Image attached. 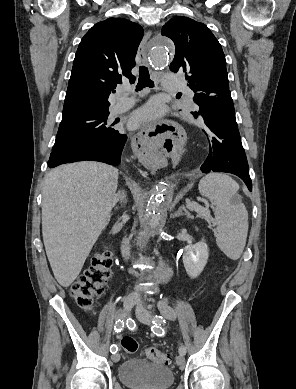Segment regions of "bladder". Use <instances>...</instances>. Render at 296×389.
Returning a JSON list of instances; mask_svg holds the SVG:
<instances>
[{
  "mask_svg": "<svg viewBox=\"0 0 296 389\" xmlns=\"http://www.w3.org/2000/svg\"><path fill=\"white\" fill-rule=\"evenodd\" d=\"M118 377L130 389H168L174 382V375L167 366L134 358L120 365Z\"/></svg>",
  "mask_w": 296,
  "mask_h": 389,
  "instance_id": "31cf9c89",
  "label": "bladder"
}]
</instances>
